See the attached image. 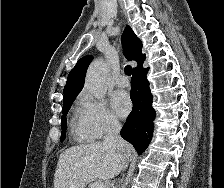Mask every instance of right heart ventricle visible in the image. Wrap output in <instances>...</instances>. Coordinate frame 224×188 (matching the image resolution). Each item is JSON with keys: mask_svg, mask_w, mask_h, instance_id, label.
I'll list each match as a JSON object with an SVG mask.
<instances>
[{"mask_svg": "<svg viewBox=\"0 0 224 188\" xmlns=\"http://www.w3.org/2000/svg\"><path fill=\"white\" fill-rule=\"evenodd\" d=\"M71 127L74 136L78 141H89L90 139H92L87 133V131L84 129L80 118L74 117L71 121Z\"/></svg>", "mask_w": 224, "mask_h": 188, "instance_id": "e07e8e85", "label": "right heart ventricle"}]
</instances>
